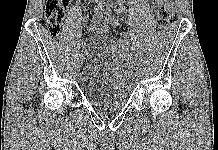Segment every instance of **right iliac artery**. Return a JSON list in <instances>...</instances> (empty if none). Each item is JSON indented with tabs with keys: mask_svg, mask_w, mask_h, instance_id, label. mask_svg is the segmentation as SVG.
Returning a JSON list of instances; mask_svg holds the SVG:
<instances>
[{
	"mask_svg": "<svg viewBox=\"0 0 218 150\" xmlns=\"http://www.w3.org/2000/svg\"><path fill=\"white\" fill-rule=\"evenodd\" d=\"M103 14H104V10L102 9V7L101 6L97 7L95 9V15L93 17V20L96 21L102 19ZM79 55L80 56L84 55V50H79Z\"/></svg>",
	"mask_w": 218,
	"mask_h": 150,
	"instance_id": "obj_1",
	"label": "right iliac artery"
}]
</instances>
